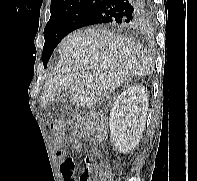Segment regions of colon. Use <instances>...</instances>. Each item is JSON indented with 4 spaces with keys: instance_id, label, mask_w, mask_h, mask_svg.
Wrapping results in <instances>:
<instances>
[{
    "instance_id": "colon-1",
    "label": "colon",
    "mask_w": 197,
    "mask_h": 181,
    "mask_svg": "<svg viewBox=\"0 0 197 181\" xmlns=\"http://www.w3.org/2000/svg\"><path fill=\"white\" fill-rule=\"evenodd\" d=\"M71 130L77 136H93L96 132V121L86 115H77L72 118ZM54 134L60 138L64 134V125L56 123L51 125ZM87 167L81 172L79 181H111V173L95 166L89 158L85 160Z\"/></svg>"
}]
</instances>
